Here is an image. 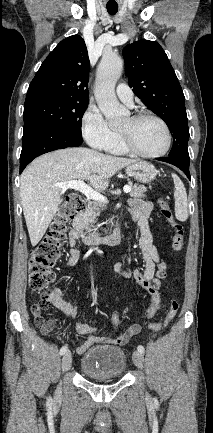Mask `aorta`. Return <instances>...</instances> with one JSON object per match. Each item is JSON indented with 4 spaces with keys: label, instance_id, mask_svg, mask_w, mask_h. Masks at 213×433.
I'll return each mask as SVG.
<instances>
[{
    "label": "aorta",
    "instance_id": "obj_1",
    "mask_svg": "<svg viewBox=\"0 0 213 433\" xmlns=\"http://www.w3.org/2000/svg\"><path fill=\"white\" fill-rule=\"evenodd\" d=\"M123 60L115 54L104 53L97 70L95 99L111 127L118 126L126 115L115 95V85L122 74Z\"/></svg>",
    "mask_w": 213,
    "mask_h": 433
}]
</instances>
